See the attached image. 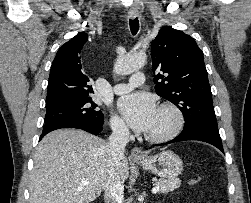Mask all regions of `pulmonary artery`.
<instances>
[{
  "label": "pulmonary artery",
  "mask_w": 251,
  "mask_h": 203,
  "mask_svg": "<svg viewBox=\"0 0 251 203\" xmlns=\"http://www.w3.org/2000/svg\"><path fill=\"white\" fill-rule=\"evenodd\" d=\"M144 81H145V76H144L143 73H141V72L134 73L130 77L129 83H119V84H116L113 87V91L116 94L126 93V92L130 91L131 89H133L134 87L143 84Z\"/></svg>",
  "instance_id": "1"
}]
</instances>
